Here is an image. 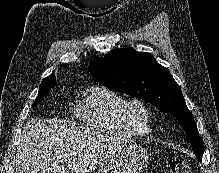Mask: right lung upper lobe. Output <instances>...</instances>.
Returning a JSON list of instances; mask_svg holds the SVG:
<instances>
[{
  "label": "right lung upper lobe",
  "mask_w": 219,
  "mask_h": 173,
  "mask_svg": "<svg viewBox=\"0 0 219 173\" xmlns=\"http://www.w3.org/2000/svg\"><path fill=\"white\" fill-rule=\"evenodd\" d=\"M46 78H56V77H55L54 74H51L50 76H48V77H46ZM46 78H44V79H46ZM55 82H56V80H55Z\"/></svg>",
  "instance_id": "1"
}]
</instances>
